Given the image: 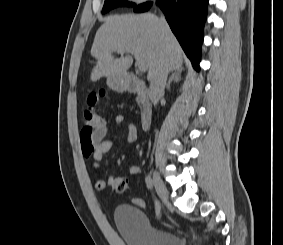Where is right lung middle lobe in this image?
I'll list each match as a JSON object with an SVG mask.
<instances>
[{
  "mask_svg": "<svg viewBox=\"0 0 283 245\" xmlns=\"http://www.w3.org/2000/svg\"><path fill=\"white\" fill-rule=\"evenodd\" d=\"M134 3H129L125 0H105L102 13H106L110 11L113 8L119 7V6H134Z\"/></svg>",
  "mask_w": 283,
  "mask_h": 245,
  "instance_id": "1",
  "label": "right lung middle lobe"
}]
</instances>
